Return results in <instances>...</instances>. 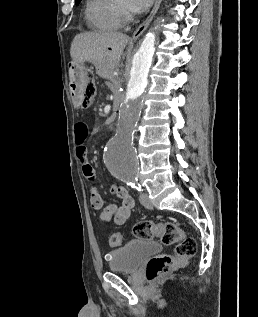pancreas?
<instances>
[{
    "label": "pancreas",
    "instance_id": "1",
    "mask_svg": "<svg viewBox=\"0 0 258 317\" xmlns=\"http://www.w3.org/2000/svg\"><path fill=\"white\" fill-rule=\"evenodd\" d=\"M110 82V88L114 91V90H119V82L118 79L116 77H111L109 79Z\"/></svg>",
    "mask_w": 258,
    "mask_h": 317
}]
</instances>
